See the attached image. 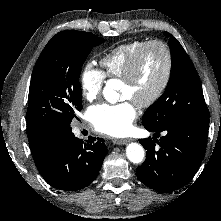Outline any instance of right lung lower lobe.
Instances as JSON below:
<instances>
[{
    "label": "right lung lower lobe",
    "mask_w": 221,
    "mask_h": 221,
    "mask_svg": "<svg viewBox=\"0 0 221 221\" xmlns=\"http://www.w3.org/2000/svg\"><path fill=\"white\" fill-rule=\"evenodd\" d=\"M36 167L52 187L77 191L87 187L98 175L107 154L104 139L83 143L71 129L51 135L32 153Z\"/></svg>",
    "instance_id": "1"
}]
</instances>
